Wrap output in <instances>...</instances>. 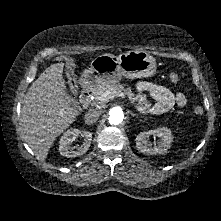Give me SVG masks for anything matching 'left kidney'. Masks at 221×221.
Segmentation results:
<instances>
[{
    "instance_id": "left-kidney-1",
    "label": "left kidney",
    "mask_w": 221,
    "mask_h": 221,
    "mask_svg": "<svg viewBox=\"0 0 221 221\" xmlns=\"http://www.w3.org/2000/svg\"><path fill=\"white\" fill-rule=\"evenodd\" d=\"M159 137L158 145L152 147V144L147 142V139L151 136ZM173 140L170 129L166 127H160L155 130L148 132H142L136 137V147L138 150L144 154H165L170 147V144Z\"/></svg>"
}]
</instances>
